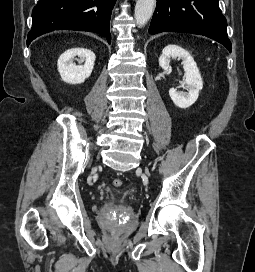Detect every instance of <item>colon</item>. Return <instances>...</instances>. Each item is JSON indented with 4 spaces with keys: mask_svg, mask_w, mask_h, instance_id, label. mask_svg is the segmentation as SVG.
I'll return each instance as SVG.
<instances>
[{
    "mask_svg": "<svg viewBox=\"0 0 255 272\" xmlns=\"http://www.w3.org/2000/svg\"><path fill=\"white\" fill-rule=\"evenodd\" d=\"M123 185V181L120 178H115L113 180V186L114 187H121Z\"/></svg>",
    "mask_w": 255,
    "mask_h": 272,
    "instance_id": "5ec220e1",
    "label": "colon"
}]
</instances>
